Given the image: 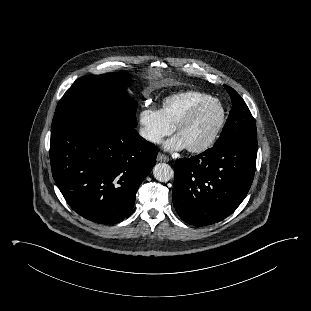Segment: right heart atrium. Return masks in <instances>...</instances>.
Wrapping results in <instances>:
<instances>
[{"label":"right heart atrium","instance_id":"1","mask_svg":"<svg viewBox=\"0 0 311 311\" xmlns=\"http://www.w3.org/2000/svg\"><path fill=\"white\" fill-rule=\"evenodd\" d=\"M139 124L141 136L152 144L159 143L173 131V127L167 123L159 110L148 107L139 113Z\"/></svg>","mask_w":311,"mask_h":311}]
</instances>
